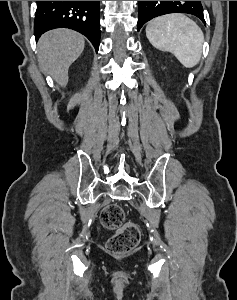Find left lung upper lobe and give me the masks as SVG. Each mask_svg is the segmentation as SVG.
Wrapping results in <instances>:
<instances>
[{"instance_id": "obj_1", "label": "left lung upper lobe", "mask_w": 237, "mask_h": 300, "mask_svg": "<svg viewBox=\"0 0 237 300\" xmlns=\"http://www.w3.org/2000/svg\"><path fill=\"white\" fill-rule=\"evenodd\" d=\"M168 13L192 14L205 23L200 1H139L138 31L147 21Z\"/></svg>"}]
</instances>
